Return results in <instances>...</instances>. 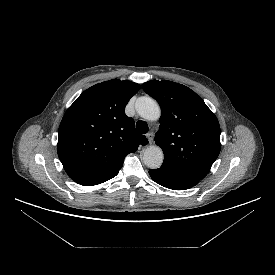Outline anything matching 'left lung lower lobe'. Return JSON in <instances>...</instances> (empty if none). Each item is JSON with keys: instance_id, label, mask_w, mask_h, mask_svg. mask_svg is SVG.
<instances>
[{"instance_id": "0a47b994", "label": "left lung lower lobe", "mask_w": 275, "mask_h": 275, "mask_svg": "<svg viewBox=\"0 0 275 275\" xmlns=\"http://www.w3.org/2000/svg\"><path fill=\"white\" fill-rule=\"evenodd\" d=\"M149 174L156 183L173 190L189 189L201 180L164 164L158 169H150Z\"/></svg>"}]
</instances>
